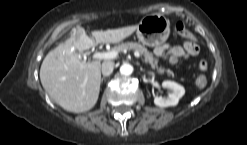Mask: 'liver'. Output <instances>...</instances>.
Returning <instances> with one entry per match:
<instances>
[{"instance_id": "1", "label": "liver", "mask_w": 247, "mask_h": 145, "mask_svg": "<svg viewBox=\"0 0 247 145\" xmlns=\"http://www.w3.org/2000/svg\"><path fill=\"white\" fill-rule=\"evenodd\" d=\"M136 29L137 25L93 31V38H90L83 28H74L71 37L51 50L42 62L40 80L50 98L69 112L92 109L100 91L101 62H86L78 51L88 50L99 43H119Z\"/></svg>"}]
</instances>
